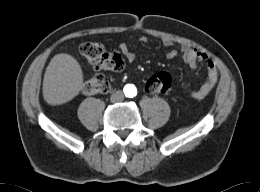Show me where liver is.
I'll return each mask as SVG.
<instances>
[{
	"label": "liver",
	"mask_w": 260,
	"mask_h": 192,
	"mask_svg": "<svg viewBox=\"0 0 260 192\" xmlns=\"http://www.w3.org/2000/svg\"><path fill=\"white\" fill-rule=\"evenodd\" d=\"M83 72L71 55H55L46 68L43 79V96L50 105H60L72 100L83 88Z\"/></svg>",
	"instance_id": "6515ba94"
}]
</instances>
